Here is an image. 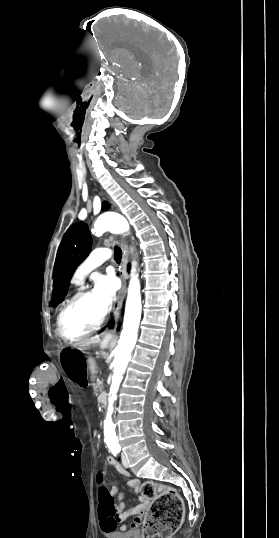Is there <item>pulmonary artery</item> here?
Returning a JSON list of instances; mask_svg holds the SVG:
<instances>
[{
  "label": "pulmonary artery",
  "instance_id": "obj_1",
  "mask_svg": "<svg viewBox=\"0 0 279 538\" xmlns=\"http://www.w3.org/2000/svg\"><path fill=\"white\" fill-rule=\"evenodd\" d=\"M109 258V256H106L105 258L101 260H90L88 262H84L82 265L78 267L76 270V273L74 275V280L76 282H82L83 279L95 268H97L102 262L106 261Z\"/></svg>",
  "mask_w": 279,
  "mask_h": 538
}]
</instances>
